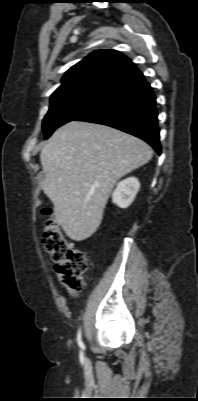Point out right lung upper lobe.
<instances>
[{"instance_id":"obj_1","label":"right lung upper lobe","mask_w":198,"mask_h":401,"mask_svg":"<svg viewBox=\"0 0 198 401\" xmlns=\"http://www.w3.org/2000/svg\"><path fill=\"white\" fill-rule=\"evenodd\" d=\"M137 71L129 58L118 51H94L66 72L51 98L82 88L110 89Z\"/></svg>"}]
</instances>
